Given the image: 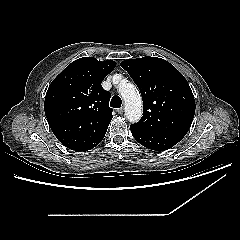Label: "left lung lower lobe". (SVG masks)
I'll return each instance as SVG.
<instances>
[{"label": "left lung lower lobe", "mask_w": 240, "mask_h": 240, "mask_svg": "<svg viewBox=\"0 0 240 240\" xmlns=\"http://www.w3.org/2000/svg\"><path fill=\"white\" fill-rule=\"evenodd\" d=\"M130 129L133 137L136 139L137 142H139L146 148L155 151H163L170 149L179 141H181L183 137L186 135L185 133L179 132H165V133L144 132L131 126Z\"/></svg>", "instance_id": "0a47b994"}]
</instances>
